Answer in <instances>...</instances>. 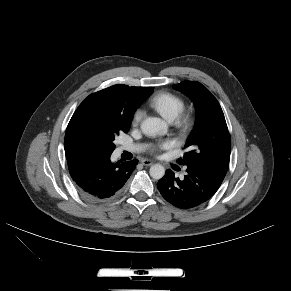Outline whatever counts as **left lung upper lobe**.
Listing matches in <instances>:
<instances>
[{
    "label": "left lung upper lobe",
    "instance_id": "left-lung-upper-lobe-1",
    "mask_svg": "<svg viewBox=\"0 0 291 291\" xmlns=\"http://www.w3.org/2000/svg\"><path fill=\"white\" fill-rule=\"evenodd\" d=\"M174 88L185 93L194 102L197 119L179 164H197L227 172L231 141L223 111L210 91L199 82L183 81Z\"/></svg>",
    "mask_w": 291,
    "mask_h": 291
}]
</instances>
